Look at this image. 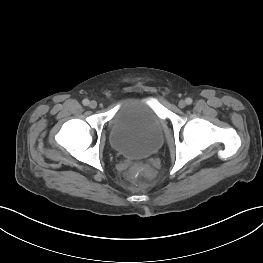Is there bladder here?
I'll use <instances>...</instances> for the list:
<instances>
[{"label": "bladder", "instance_id": "obj_1", "mask_svg": "<svg viewBox=\"0 0 263 263\" xmlns=\"http://www.w3.org/2000/svg\"><path fill=\"white\" fill-rule=\"evenodd\" d=\"M108 137L111 147L124 157H148L163 144L162 121L146 99L126 98L111 118Z\"/></svg>", "mask_w": 263, "mask_h": 263}]
</instances>
